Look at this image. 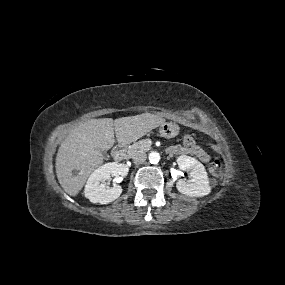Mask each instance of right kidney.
Segmentation results:
<instances>
[{"label": "right kidney", "mask_w": 285, "mask_h": 285, "mask_svg": "<svg viewBox=\"0 0 285 285\" xmlns=\"http://www.w3.org/2000/svg\"><path fill=\"white\" fill-rule=\"evenodd\" d=\"M128 167L116 162L106 163L97 168L88 178L85 185V197L92 203L108 204L116 200L122 193L121 186L114 184L106 186V180L111 177L126 176Z\"/></svg>", "instance_id": "1"}]
</instances>
